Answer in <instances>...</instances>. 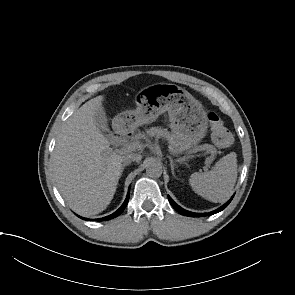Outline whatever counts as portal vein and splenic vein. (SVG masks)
Masks as SVG:
<instances>
[{"instance_id": "1", "label": "portal vein and splenic vein", "mask_w": 295, "mask_h": 295, "mask_svg": "<svg viewBox=\"0 0 295 295\" xmlns=\"http://www.w3.org/2000/svg\"><path fill=\"white\" fill-rule=\"evenodd\" d=\"M141 144H140V142H134V143H132V144H130V146H129V149L130 150H134V149H138V148H141ZM211 162H212V158H206V160H205V164H206V167L209 165V164H211ZM205 167V168H206Z\"/></svg>"}]
</instances>
